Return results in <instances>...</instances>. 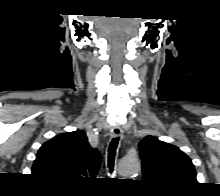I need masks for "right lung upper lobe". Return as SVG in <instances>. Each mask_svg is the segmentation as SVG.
I'll return each mask as SVG.
<instances>
[{"instance_id": "1", "label": "right lung upper lobe", "mask_w": 220, "mask_h": 196, "mask_svg": "<svg viewBox=\"0 0 220 196\" xmlns=\"http://www.w3.org/2000/svg\"><path fill=\"white\" fill-rule=\"evenodd\" d=\"M101 156L90 147L82 130L63 133L45 142L39 149L32 175L43 182L73 188L81 180L95 178Z\"/></svg>"}]
</instances>
